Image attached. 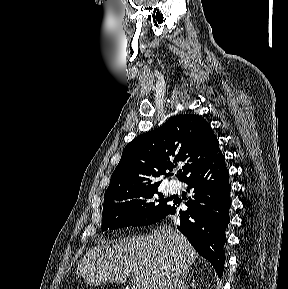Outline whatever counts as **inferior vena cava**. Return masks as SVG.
I'll return each mask as SVG.
<instances>
[{"label":"inferior vena cava","instance_id":"obj_1","mask_svg":"<svg viewBox=\"0 0 288 289\" xmlns=\"http://www.w3.org/2000/svg\"><path fill=\"white\" fill-rule=\"evenodd\" d=\"M178 276L179 273L174 268L167 270L160 284V289H176L179 281Z\"/></svg>","mask_w":288,"mask_h":289}]
</instances>
